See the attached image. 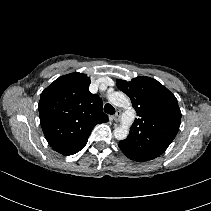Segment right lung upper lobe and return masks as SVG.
Instances as JSON below:
<instances>
[{
    "instance_id": "1",
    "label": "right lung upper lobe",
    "mask_w": 211,
    "mask_h": 211,
    "mask_svg": "<svg viewBox=\"0 0 211 211\" xmlns=\"http://www.w3.org/2000/svg\"><path fill=\"white\" fill-rule=\"evenodd\" d=\"M90 78L71 73L56 79L40 96L39 114L49 145L63 155L80 151L93 127L108 121L101 98L89 92Z\"/></svg>"
}]
</instances>
